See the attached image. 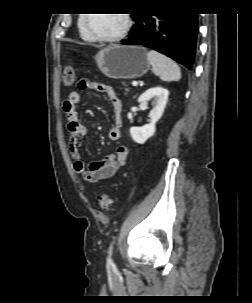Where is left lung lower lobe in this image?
Segmentation results:
<instances>
[{
	"mask_svg": "<svg viewBox=\"0 0 252 303\" xmlns=\"http://www.w3.org/2000/svg\"><path fill=\"white\" fill-rule=\"evenodd\" d=\"M130 33L122 44L149 47L192 69L198 33L196 13H141Z\"/></svg>",
	"mask_w": 252,
	"mask_h": 303,
	"instance_id": "obj_1",
	"label": "left lung lower lobe"
}]
</instances>
